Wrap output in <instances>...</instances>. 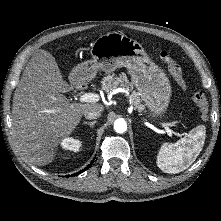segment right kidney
I'll use <instances>...</instances> for the list:
<instances>
[{"label":"right kidney","instance_id":"1","mask_svg":"<svg viewBox=\"0 0 221 221\" xmlns=\"http://www.w3.org/2000/svg\"><path fill=\"white\" fill-rule=\"evenodd\" d=\"M62 148L65 150H70L74 152L80 151L82 147V142L78 139H73V138H65L62 140Z\"/></svg>","mask_w":221,"mask_h":221}]
</instances>
